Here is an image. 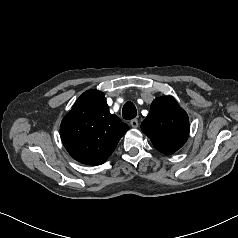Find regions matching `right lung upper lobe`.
Segmentation results:
<instances>
[{
	"label": "right lung upper lobe",
	"instance_id": "right-lung-upper-lobe-1",
	"mask_svg": "<svg viewBox=\"0 0 238 238\" xmlns=\"http://www.w3.org/2000/svg\"><path fill=\"white\" fill-rule=\"evenodd\" d=\"M129 127L109 112L104 94L98 90L83 93L60 127L62 142L78 162L100 165L112 154Z\"/></svg>",
	"mask_w": 238,
	"mask_h": 238
}]
</instances>
